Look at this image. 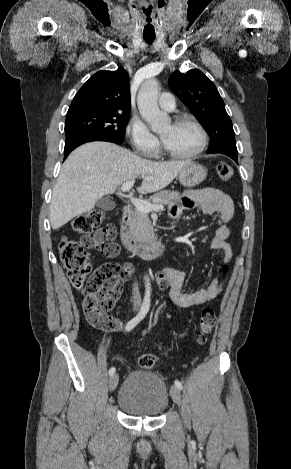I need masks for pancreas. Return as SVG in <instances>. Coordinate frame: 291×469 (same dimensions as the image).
Masks as SVG:
<instances>
[{"mask_svg":"<svg viewBox=\"0 0 291 469\" xmlns=\"http://www.w3.org/2000/svg\"><path fill=\"white\" fill-rule=\"evenodd\" d=\"M180 198V193L176 191L164 190L155 193L147 202L155 201L160 204L174 205ZM129 236L137 243L145 244L155 239L153 227L148 214L135 208L127 223Z\"/></svg>","mask_w":291,"mask_h":469,"instance_id":"1","label":"pancreas"}]
</instances>
